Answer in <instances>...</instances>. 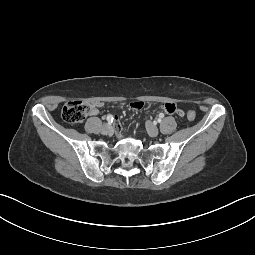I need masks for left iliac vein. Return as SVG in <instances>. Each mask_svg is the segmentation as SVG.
<instances>
[{
	"label": "left iliac vein",
	"instance_id": "obj_1",
	"mask_svg": "<svg viewBox=\"0 0 255 255\" xmlns=\"http://www.w3.org/2000/svg\"><path fill=\"white\" fill-rule=\"evenodd\" d=\"M148 134L151 137H156L159 134L158 128L150 121L146 123Z\"/></svg>",
	"mask_w": 255,
	"mask_h": 255
}]
</instances>
